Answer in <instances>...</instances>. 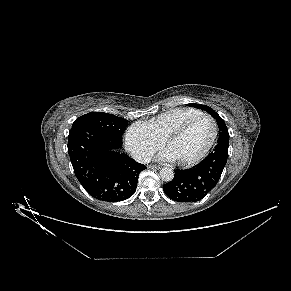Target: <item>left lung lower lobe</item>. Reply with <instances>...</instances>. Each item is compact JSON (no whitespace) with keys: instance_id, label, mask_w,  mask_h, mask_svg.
Instances as JSON below:
<instances>
[{"instance_id":"1","label":"left lung lower lobe","mask_w":291,"mask_h":291,"mask_svg":"<svg viewBox=\"0 0 291 291\" xmlns=\"http://www.w3.org/2000/svg\"><path fill=\"white\" fill-rule=\"evenodd\" d=\"M229 140L217 145L202 162L191 169L175 170L172 181L163 185L165 194L177 202H196L204 198L219 181L227 162Z\"/></svg>"}]
</instances>
